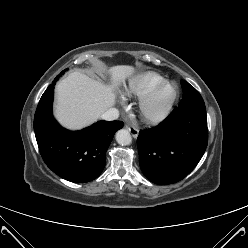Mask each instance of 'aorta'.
Wrapping results in <instances>:
<instances>
[{
  "mask_svg": "<svg viewBox=\"0 0 248 248\" xmlns=\"http://www.w3.org/2000/svg\"><path fill=\"white\" fill-rule=\"evenodd\" d=\"M116 141L122 146H127L132 143V137L128 130L121 129L116 133Z\"/></svg>",
  "mask_w": 248,
  "mask_h": 248,
  "instance_id": "obj_1",
  "label": "aorta"
}]
</instances>
